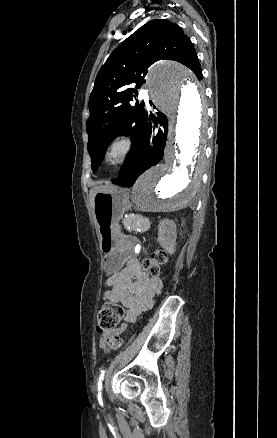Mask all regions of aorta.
I'll return each mask as SVG.
<instances>
[{"label": "aorta", "instance_id": "1", "mask_svg": "<svg viewBox=\"0 0 277 438\" xmlns=\"http://www.w3.org/2000/svg\"><path fill=\"white\" fill-rule=\"evenodd\" d=\"M147 87L168 118L169 139L163 162L136 182L134 201L142 211L168 212L187 204L200 185L205 165L204 100L191 72L174 62L154 64Z\"/></svg>", "mask_w": 277, "mask_h": 438}]
</instances>
